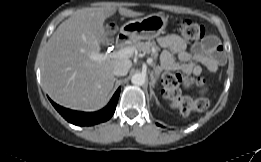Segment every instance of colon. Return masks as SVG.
<instances>
[{"label": "colon", "instance_id": "1", "mask_svg": "<svg viewBox=\"0 0 261 162\" xmlns=\"http://www.w3.org/2000/svg\"><path fill=\"white\" fill-rule=\"evenodd\" d=\"M177 28L182 37L189 42H196L205 35L202 24L191 18H181L177 21ZM163 95L170 99L185 114L191 110L204 111L209 102L202 95L195 98L182 96L183 90L195 89L199 94H204L208 88V80L205 77H191L178 73H166L163 76Z\"/></svg>", "mask_w": 261, "mask_h": 162}]
</instances>
